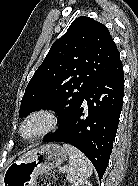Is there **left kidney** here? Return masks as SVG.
<instances>
[{
    "label": "left kidney",
    "mask_w": 138,
    "mask_h": 186,
    "mask_svg": "<svg viewBox=\"0 0 138 186\" xmlns=\"http://www.w3.org/2000/svg\"><path fill=\"white\" fill-rule=\"evenodd\" d=\"M71 186H92V185L90 184L89 181L82 180V181H78V182L72 184Z\"/></svg>",
    "instance_id": "5707ae66"
}]
</instances>
